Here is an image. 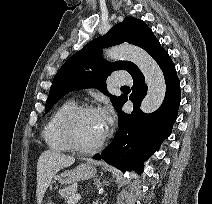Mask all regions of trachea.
Segmentation results:
<instances>
[{
  "instance_id": "trachea-1",
  "label": "trachea",
  "mask_w": 212,
  "mask_h": 204,
  "mask_svg": "<svg viewBox=\"0 0 212 204\" xmlns=\"http://www.w3.org/2000/svg\"><path fill=\"white\" fill-rule=\"evenodd\" d=\"M122 89H129V87L128 86H123Z\"/></svg>"
}]
</instances>
